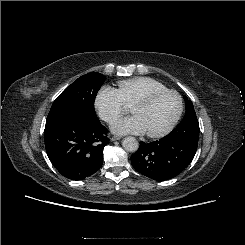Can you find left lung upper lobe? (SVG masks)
I'll return each mask as SVG.
<instances>
[{"mask_svg": "<svg viewBox=\"0 0 245 245\" xmlns=\"http://www.w3.org/2000/svg\"><path fill=\"white\" fill-rule=\"evenodd\" d=\"M186 101V113L184 119L171 131L166 139L170 141L188 140L198 143L199 123L191 100L184 96Z\"/></svg>", "mask_w": 245, "mask_h": 245, "instance_id": "1", "label": "left lung upper lobe"}]
</instances>
